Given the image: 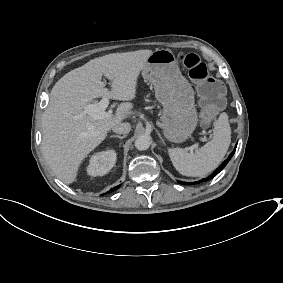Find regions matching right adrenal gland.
I'll list each match as a JSON object with an SVG mask.
<instances>
[{"instance_id": "right-adrenal-gland-1", "label": "right adrenal gland", "mask_w": 283, "mask_h": 283, "mask_svg": "<svg viewBox=\"0 0 283 283\" xmlns=\"http://www.w3.org/2000/svg\"><path fill=\"white\" fill-rule=\"evenodd\" d=\"M127 134H123V135H111L110 137H115V138H120L121 140H123L124 137H126Z\"/></svg>"}]
</instances>
